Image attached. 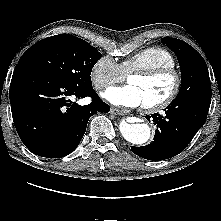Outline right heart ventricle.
Segmentation results:
<instances>
[{
	"mask_svg": "<svg viewBox=\"0 0 221 221\" xmlns=\"http://www.w3.org/2000/svg\"><path fill=\"white\" fill-rule=\"evenodd\" d=\"M175 66L176 60L172 53L159 46L142 49L120 63V67L125 75L139 69Z\"/></svg>",
	"mask_w": 221,
	"mask_h": 221,
	"instance_id": "1",
	"label": "right heart ventricle"
}]
</instances>
